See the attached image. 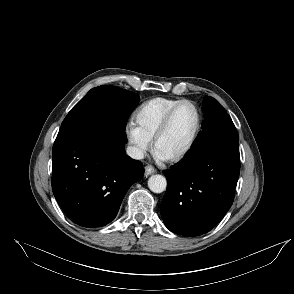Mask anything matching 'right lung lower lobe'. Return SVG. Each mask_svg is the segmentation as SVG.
I'll return each mask as SVG.
<instances>
[{
  "label": "right lung lower lobe",
  "instance_id": "right-lung-lower-lobe-1",
  "mask_svg": "<svg viewBox=\"0 0 294 294\" xmlns=\"http://www.w3.org/2000/svg\"><path fill=\"white\" fill-rule=\"evenodd\" d=\"M101 103L112 98L98 89ZM125 129L112 127L57 137L52 155V189L62 210L83 227H101L117 215L129 187L144 168L125 154Z\"/></svg>",
  "mask_w": 294,
  "mask_h": 294
}]
</instances>
